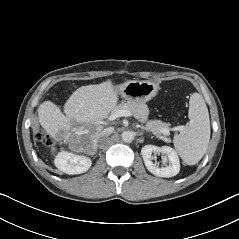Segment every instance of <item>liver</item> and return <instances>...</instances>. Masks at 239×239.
Masks as SVG:
<instances>
[{
	"instance_id": "obj_1",
	"label": "liver",
	"mask_w": 239,
	"mask_h": 239,
	"mask_svg": "<svg viewBox=\"0 0 239 239\" xmlns=\"http://www.w3.org/2000/svg\"><path fill=\"white\" fill-rule=\"evenodd\" d=\"M118 102V93L111 80L96 85L78 88L64 105V113L59 106L45 101L38 108V116L43 129L53 138H63L72 129L89 128V137L94 147L95 139L102 132V121L110 115ZM80 148L79 151H84Z\"/></svg>"
}]
</instances>
